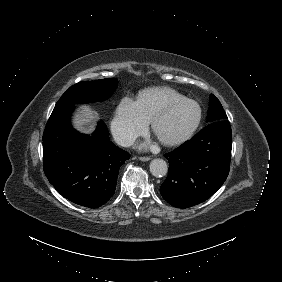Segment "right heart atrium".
Masks as SVG:
<instances>
[{"label":"right heart atrium","mask_w":282,"mask_h":282,"mask_svg":"<svg viewBox=\"0 0 282 282\" xmlns=\"http://www.w3.org/2000/svg\"><path fill=\"white\" fill-rule=\"evenodd\" d=\"M149 119L138 102L124 98L116 109L111 123L114 137L122 144H130L149 127Z\"/></svg>","instance_id":"d8ad5b80"}]
</instances>
